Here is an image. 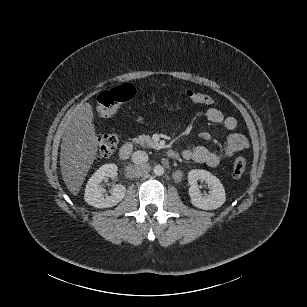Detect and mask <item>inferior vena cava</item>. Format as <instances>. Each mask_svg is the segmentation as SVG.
Wrapping results in <instances>:
<instances>
[{"label":"inferior vena cava","mask_w":307,"mask_h":307,"mask_svg":"<svg viewBox=\"0 0 307 307\" xmlns=\"http://www.w3.org/2000/svg\"><path fill=\"white\" fill-rule=\"evenodd\" d=\"M132 161L135 164H143L148 162V155L144 151H136L132 155Z\"/></svg>","instance_id":"obj_1"}]
</instances>
